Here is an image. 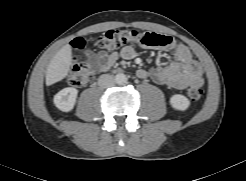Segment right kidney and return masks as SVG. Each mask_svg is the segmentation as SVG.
<instances>
[{
  "label": "right kidney",
  "mask_w": 246,
  "mask_h": 181,
  "mask_svg": "<svg viewBox=\"0 0 246 181\" xmlns=\"http://www.w3.org/2000/svg\"><path fill=\"white\" fill-rule=\"evenodd\" d=\"M78 90L72 87H67L58 92L53 99L55 106L63 111L69 112L74 108L76 103Z\"/></svg>",
  "instance_id": "1"
}]
</instances>
